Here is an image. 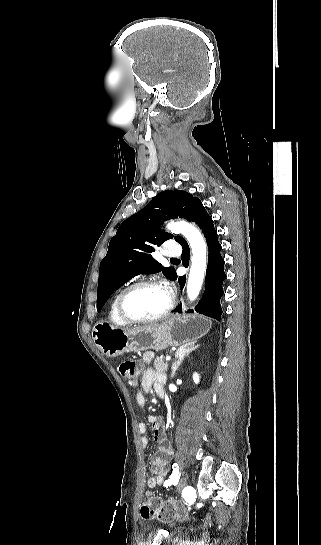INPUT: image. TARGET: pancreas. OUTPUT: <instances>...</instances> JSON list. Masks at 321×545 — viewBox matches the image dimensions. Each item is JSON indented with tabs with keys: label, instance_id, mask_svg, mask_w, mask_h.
Here are the masks:
<instances>
[{
	"label": "pancreas",
	"instance_id": "obj_1",
	"mask_svg": "<svg viewBox=\"0 0 321 545\" xmlns=\"http://www.w3.org/2000/svg\"><path fill=\"white\" fill-rule=\"evenodd\" d=\"M154 369L155 371H158V373H166L168 363H165L164 359H156V361H154Z\"/></svg>",
	"mask_w": 321,
	"mask_h": 545
}]
</instances>
